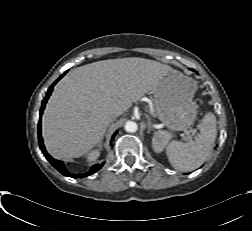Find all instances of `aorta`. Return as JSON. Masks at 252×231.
<instances>
[{"instance_id": "aorta-1", "label": "aorta", "mask_w": 252, "mask_h": 231, "mask_svg": "<svg viewBox=\"0 0 252 231\" xmlns=\"http://www.w3.org/2000/svg\"><path fill=\"white\" fill-rule=\"evenodd\" d=\"M124 128L127 132H136L138 129V126H137L136 122H134V121H127L125 123Z\"/></svg>"}]
</instances>
